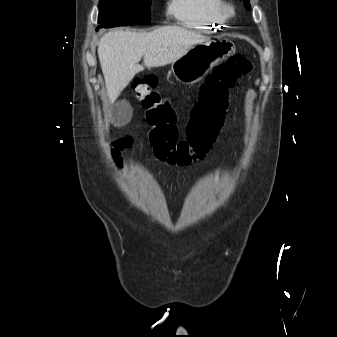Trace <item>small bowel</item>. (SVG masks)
Wrapping results in <instances>:
<instances>
[{
	"instance_id": "obj_1",
	"label": "small bowel",
	"mask_w": 337,
	"mask_h": 337,
	"mask_svg": "<svg viewBox=\"0 0 337 337\" xmlns=\"http://www.w3.org/2000/svg\"><path fill=\"white\" fill-rule=\"evenodd\" d=\"M115 145L117 146L116 149L113 150V153L111 155L112 160L116 166V168L119 171L123 170V160L120 156V153L118 151L119 147L123 148V147H129L131 145V141L128 138H122L120 140H117L115 142Z\"/></svg>"
}]
</instances>
